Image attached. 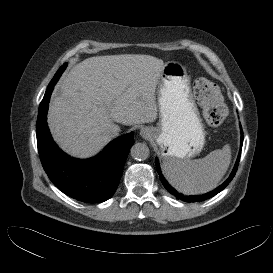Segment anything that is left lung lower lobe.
I'll return each mask as SVG.
<instances>
[{"label":"left lung lower lobe","mask_w":273,"mask_h":273,"mask_svg":"<svg viewBox=\"0 0 273 273\" xmlns=\"http://www.w3.org/2000/svg\"><path fill=\"white\" fill-rule=\"evenodd\" d=\"M241 134H242V130H241ZM242 143H243V136H241V147H242ZM241 150V149H240ZM240 154H241V151L239 152V156L237 158V161H236V164L234 166V169L230 175V177L223 183L221 184L219 187H217L216 189H214L213 191L209 192V193H206L204 195H198V196H184L182 194H179L177 191H175L168 183L167 181L164 179V177L162 176L161 174V171H160V167H159V164H158V160L156 159V167H157V172L159 174V177L161 179V182L162 184L164 185V187L166 188V190L174 195L177 199H181L183 201H186V202H198V201H203V200H206L208 198H211L213 197L214 195L218 194L220 191H222L228 184L229 182L232 180V178L234 177L236 171H237V168H238V164H239V159H240Z\"/></svg>","instance_id":"1"}]
</instances>
